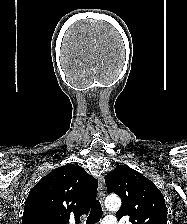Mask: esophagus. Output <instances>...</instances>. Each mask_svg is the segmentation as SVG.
I'll use <instances>...</instances> for the list:
<instances>
[{"label":"esophagus","mask_w":187,"mask_h":224,"mask_svg":"<svg viewBox=\"0 0 187 224\" xmlns=\"http://www.w3.org/2000/svg\"><path fill=\"white\" fill-rule=\"evenodd\" d=\"M105 195H106V188L104 178L103 176H100L98 178V197L102 205L104 204Z\"/></svg>","instance_id":"esophagus-1"}]
</instances>
